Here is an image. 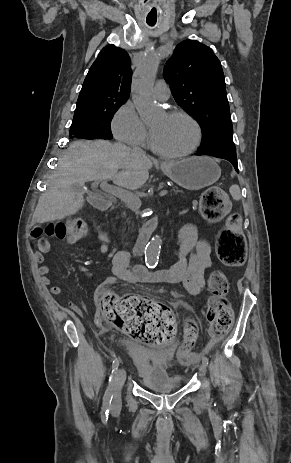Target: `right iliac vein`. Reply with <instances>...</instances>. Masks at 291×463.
<instances>
[{
    "instance_id": "1",
    "label": "right iliac vein",
    "mask_w": 291,
    "mask_h": 463,
    "mask_svg": "<svg viewBox=\"0 0 291 463\" xmlns=\"http://www.w3.org/2000/svg\"><path fill=\"white\" fill-rule=\"evenodd\" d=\"M117 383L115 386L114 399L112 403V410H118L121 406V389L126 380V371L124 368H120L117 375Z\"/></svg>"
}]
</instances>
